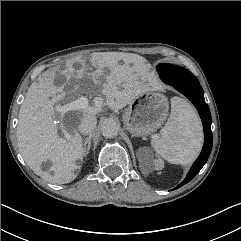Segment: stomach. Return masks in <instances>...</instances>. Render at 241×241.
Listing matches in <instances>:
<instances>
[{
    "mask_svg": "<svg viewBox=\"0 0 241 241\" xmlns=\"http://www.w3.org/2000/svg\"><path fill=\"white\" fill-rule=\"evenodd\" d=\"M167 116V98L159 92L149 90L128 104L122 119L132 135L145 137L160 128Z\"/></svg>",
    "mask_w": 241,
    "mask_h": 241,
    "instance_id": "0dacf381",
    "label": "stomach"
}]
</instances>
